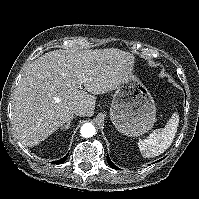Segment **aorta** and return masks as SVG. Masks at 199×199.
Instances as JSON below:
<instances>
[{
	"mask_svg": "<svg viewBox=\"0 0 199 199\" xmlns=\"http://www.w3.org/2000/svg\"><path fill=\"white\" fill-rule=\"evenodd\" d=\"M95 133H96L95 126L91 123L83 124L81 129H80V134L84 138L92 137V136L95 135Z\"/></svg>",
	"mask_w": 199,
	"mask_h": 199,
	"instance_id": "1",
	"label": "aorta"
}]
</instances>
